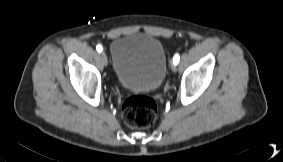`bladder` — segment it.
Instances as JSON below:
<instances>
[{"instance_id":"obj_1","label":"bladder","mask_w":283,"mask_h":162,"mask_svg":"<svg viewBox=\"0 0 283 162\" xmlns=\"http://www.w3.org/2000/svg\"><path fill=\"white\" fill-rule=\"evenodd\" d=\"M114 77L124 89L147 93L158 89L167 73L162 43L144 33L123 35L111 45Z\"/></svg>"}]
</instances>
